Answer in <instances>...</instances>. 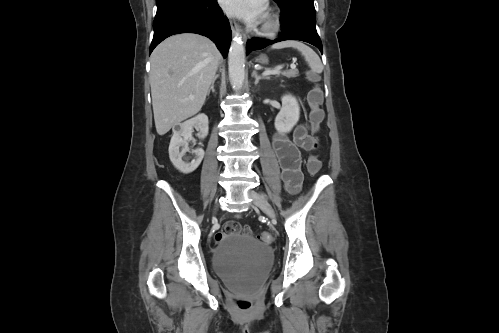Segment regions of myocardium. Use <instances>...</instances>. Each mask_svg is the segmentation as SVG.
<instances>
[{
  "instance_id": "f54148a6",
  "label": "myocardium",
  "mask_w": 499,
  "mask_h": 333,
  "mask_svg": "<svg viewBox=\"0 0 499 333\" xmlns=\"http://www.w3.org/2000/svg\"><path fill=\"white\" fill-rule=\"evenodd\" d=\"M279 17L274 13H267L260 27V33L266 37L274 36L279 30Z\"/></svg>"
}]
</instances>
